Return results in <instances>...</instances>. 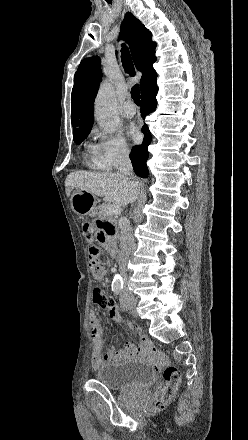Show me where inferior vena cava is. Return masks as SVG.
<instances>
[{
  "label": "inferior vena cava",
  "instance_id": "inferior-vena-cava-1",
  "mask_svg": "<svg viewBox=\"0 0 248 440\" xmlns=\"http://www.w3.org/2000/svg\"><path fill=\"white\" fill-rule=\"evenodd\" d=\"M132 164L129 158V152L123 151L120 155L119 169L117 174L122 176H132ZM134 245L133 230L129 223H125L121 227L120 236V255H119V266L124 279H126V263L128 256ZM130 294V293H128Z\"/></svg>",
  "mask_w": 248,
  "mask_h": 440
}]
</instances>
